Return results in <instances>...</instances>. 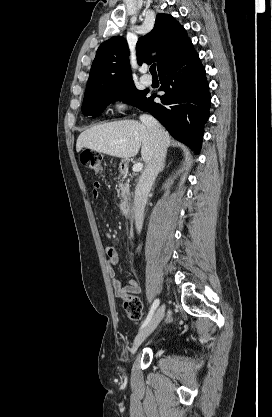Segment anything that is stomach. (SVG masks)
<instances>
[{
  "label": "stomach",
  "instance_id": "obj_1",
  "mask_svg": "<svg viewBox=\"0 0 272 417\" xmlns=\"http://www.w3.org/2000/svg\"><path fill=\"white\" fill-rule=\"evenodd\" d=\"M126 164V160H123L120 164V166L125 165Z\"/></svg>",
  "mask_w": 272,
  "mask_h": 417
}]
</instances>
